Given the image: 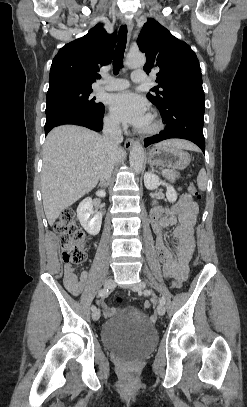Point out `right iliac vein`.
<instances>
[{"label":"right iliac vein","mask_w":247,"mask_h":407,"mask_svg":"<svg viewBox=\"0 0 247 407\" xmlns=\"http://www.w3.org/2000/svg\"><path fill=\"white\" fill-rule=\"evenodd\" d=\"M115 285H116L115 281L111 278L106 279L104 282L105 288L113 289L115 287ZM92 318L95 321L98 320L100 318V311L99 310L93 311Z\"/></svg>","instance_id":"1"}]
</instances>
